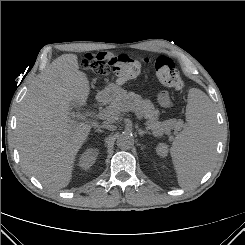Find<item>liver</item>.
<instances>
[{"mask_svg": "<svg viewBox=\"0 0 245 245\" xmlns=\"http://www.w3.org/2000/svg\"><path fill=\"white\" fill-rule=\"evenodd\" d=\"M89 93L77 55L64 54L45 69L21 103L16 128L20 160L45 187L62 189L72 178L91 125L70 118V103L85 106Z\"/></svg>", "mask_w": 245, "mask_h": 245, "instance_id": "liver-1", "label": "liver"}]
</instances>
